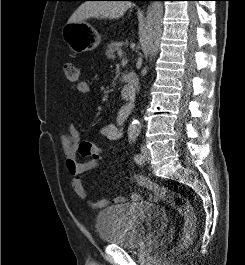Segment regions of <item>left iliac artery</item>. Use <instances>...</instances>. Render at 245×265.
<instances>
[{
    "label": "left iliac artery",
    "mask_w": 245,
    "mask_h": 265,
    "mask_svg": "<svg viewBox=\"0 0 245 265\" xmlns=\"http://www.w3.org/2000/svg\"><path fill=\"white\" fill-rule=\"evenodd\" d=\"M137 137H138V133H130L129 134V139H130L131 142H135ZM134 160H135L136 163H141L142 162V155L141 154H136L134 156Z\"/></svg>",
    "instance_id": "1"
}]
</instances>
